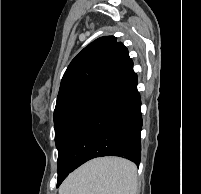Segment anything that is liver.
<instances>
[{"instance_id":"6515ba94","label":"liver","mask_w":201,"mask_h":194,"mask_svg":"<svg viewBox=\"0 0 201 194\" xmlns=\"http://www.w3.org/2000/svg\"><path fill=\"white\" fill-rule=\"evenodd\" d=\"M59 194H137V167L119 157L93 159L64 180Z\"/></svg>"}]
</instances>
